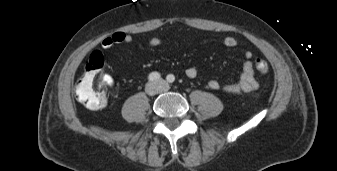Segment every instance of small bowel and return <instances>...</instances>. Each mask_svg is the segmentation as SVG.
<instances>
[{
    "mask_svg": "<svg viewBox=\"0 0 337 171\" xmlns=\"http://www.w3.org/2000/svg\"><path fill=\"white\" fill-rule=\"evenodd\" d=\"M132 41L133 37L131 34L123 31H118L113 33L112 35L105 37L101 41V47L103 49H109L114 45L129 44ZM163 43H164L163 39L159 37H153L149 40V45L151 47H159L163 45ZM222 43L225 47L228 48H234L238 45V41L234 37H226ZM243 58L244 62L242 64L240 78L237 83L221 86L219 81H217L216 79H210L208 81V87L213 90L222 89L225 93L232 95L248 93L256 90L259 87V83L255 77L254 67L251 60L252 59L251 51H245L243 53ZM185 75L190 79H194L199 76V71L195 67H188L185 70ZM103 80L105 84H107L108 86H113L115 83L114 78L109 74H106Z\"/></svg>",
    "mask_w": 337,
    "mask_h": 171,
    "instance_id": "obj_1",
    "label": "small bowel"
}]
</instances>
